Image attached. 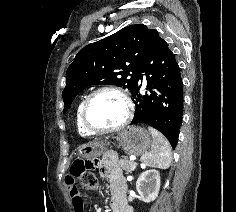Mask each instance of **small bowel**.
<instances>
[{
  "label": "small bowel",
  "mask_w": 236,
  "mask_h": 212,
  "mask_svg": "<svg viewBox=\"0 0 236 212\" xmlns=\"http://www.w3.org/2000/svg\"><path fill=\"white\" fill-rule=\"evenodd\" d=\"M101 169L103 176L110 182L112 212H132L126 200L127 185L120 169L112 164L110 158H104L101 161ZM65 183L71 196L74 212H84L83 198L75 186V184H81V179L78 175L71 173V175L66 176Z\"/></svg>",
  "instance_id": "1"
}]
</instances>
